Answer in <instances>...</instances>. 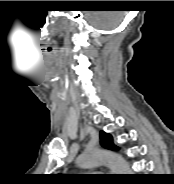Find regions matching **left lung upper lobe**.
<instances>
[{
  "mask_svg": "<svg viewBox=\"0 0 174 184\" xmlns=\"http://www.w3.org/2000/svg\"><path fill=\"white\" fill-rule=\"evenodd\" d=\"M100 139H101V145L104 148L110 149V150H118L119 148L113 144V139L110 134L105 133L104 131L100 132Z\"/></svg>",
  "mask_w": 174,
  "mask_h": 184,
  "instance_id": "1",
  "label": "left lung upper lobe"
}]
</instances>
